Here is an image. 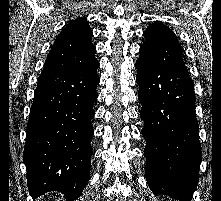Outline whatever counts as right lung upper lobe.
<instances>
[{
	"label": "right lung upper lobe",
	"mask_w": 221,
	"mask_h": 201,
	"mask_svg": "<svg viewBox=\"0 0 221 201\" xmlns=\"http://www.w3.org/2000/svg\"><path fill=\"white\" fill-rule=\"evenodd\" d=\"M93 33L85 18H77L57 36L43 70L76 71L97 64Z\"/></svg>",
	"instance_id": "cb5924a9"
}]
</instances>
